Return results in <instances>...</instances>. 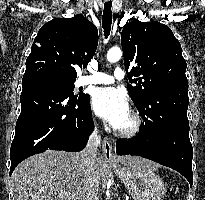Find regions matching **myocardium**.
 <instances>
[{
  "mask_svg": "<svg viewBox=\"0 0 205 200\" xmlns=\"http://www.w3.org/2000/svg\"><path fill=\"white\" fill-rule=\"evenodd\" d=\"M130 116L132 119L131 126L127 129H116L115 133L117 136L125 139H132L137 137L142 131L143 119L141 115L138 112L132 110L130 111Z\"/></svg>",
  "mask_w": 205,
  "mask_h": 200,
  "instance_id": "obj_1",
  "label": "myocardium"
}]
</instances>
